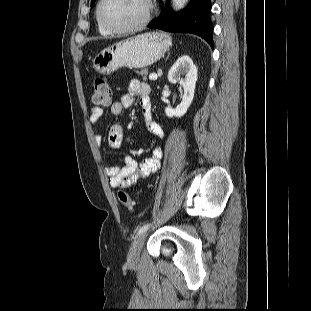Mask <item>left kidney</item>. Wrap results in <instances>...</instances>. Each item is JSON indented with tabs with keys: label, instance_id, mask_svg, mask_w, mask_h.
<instances>
[{
	"label": "left kidney",
	"instance_id": "5707ae66",
	"mask_svg": "<svg viewBox=\"0 0 311 311\" xmlns=\"http://www.w3.org/2000/svg\"><path fill=\"white\" fill-rule=\"evenodd\" d=\"M197 77V68L188 55L179 57L173 64L168 73V80L173 84L179 83L184 89V95L176 109L165 108L167 117H182L187 112L194 98Z\"/></svg>",
	"mask_w": 311,
	"mask_h": 311
}]
</instances>
